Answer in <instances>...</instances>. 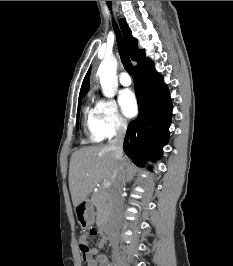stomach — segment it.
Returning <instances> with one entry per match:
<instances>
[{
  "mask_svg": "<svg viewBox=\"0 0 233 266\" xmlns=\"http://www.w3.org/2000/svg\"><path fill=\"white\" fill-rule=\"evenodd\" d=\"M94 204H77V209H74L76 221L79 228H92L94 222Z\"/></svg>",
  "mask_w": 233,
  "mask_h": 266,
  "instance_id": "0dacf381",
  "label": "stomach"
}]
</instances>
